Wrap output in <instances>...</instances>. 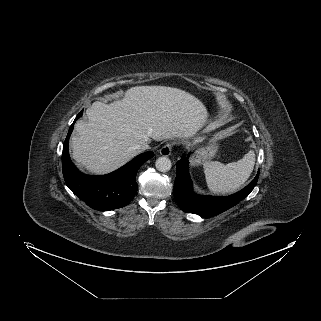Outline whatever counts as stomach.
Returning <instances> with one entry per match:
<instances>
[{
	"label": "stomach",
	"mask_w": 321,
	"mask_h": 321,
	"mask_svg": "<svg viewBox=\"0 0 321 321\" xmlns=\"http://www.w3.org/2000/svg\"><path fill=\"white\" fill-rule=\"evenodd\" d=\"M217 151L218 145L215 143V141H211L207 146H202L193 153L191 162L193 165L202 164L203 162H206L214 157Z\"/></svg>",
	"instance_id": "1"
}]
</instances>
